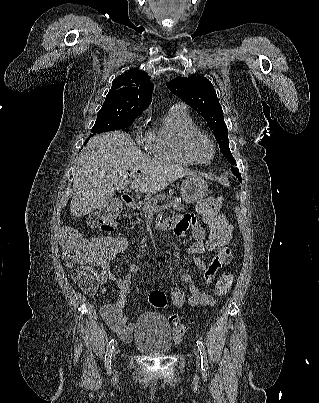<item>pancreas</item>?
Listing matches in <instances>:
<instances>
[{"mask_svg": "<svg viewBox=\"0 0 319 403\" xmlns=\"http://www.w3.org/2000/svg\"><path fill=\"white\" fill-rule=\"evenodd\" d=\"M164 200L170 201L174 210H176L178 212L184 211L183 204H181L179 201H177L176 199L172 198L170 195L165 194V193L158 194V195L154 196L153 198H151L150 200L144 202L142 211L144 213L152 212V211H154L155 206H158L157 205L158 202L164 201Z\"/></svg>", "mask_w": 319, "mask_h": 403, "instance_id": "obj_1", "label": "pancreas"}]
</instances>
